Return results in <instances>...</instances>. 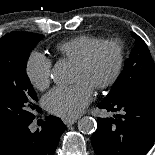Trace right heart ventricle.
<instances>
[{
    "label": "right heart ventricle",
    "instance_id": "right-heart-ventricle-1",
    "mask_svg": "<svg viewBox=\"0 0 155 155\" xmlns=\"http://www.w3.org/2000/svg\"><path fill=\"white\" fill-rule=\"evenodd\" d=\"M100 41H102V39L99 37L92 35H79L59 43L56 46V50L64 58L76 63L91 47Z\"/></svg>",
    "mask_w": 155,
    "mask_h": 155
}]
</instances>
